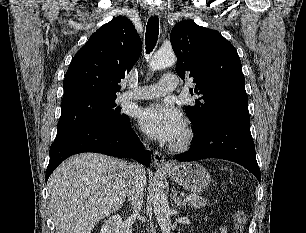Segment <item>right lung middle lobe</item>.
Masks as SVG:
<instances>
[{
  "instance_id": "dd1d6c3e",
  "label": "right lung middle lobe",
  "mask_w": 306,
  "mask_h": 233,
  "mask_svg": "<svg viewBox=\"0 0 306 233\" xmlns=\"http://www.w3.org/2000/svg\"><path fill=\"white\" fill-rule=\"evenodd\" d=\"M115 99L86 97L61 103L62 114L58 122L57 135L92 124L112 127L125 125L129 122V117L120 114V108L116 107Z\"/></svg>"
}]
</instances>
